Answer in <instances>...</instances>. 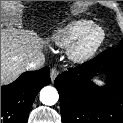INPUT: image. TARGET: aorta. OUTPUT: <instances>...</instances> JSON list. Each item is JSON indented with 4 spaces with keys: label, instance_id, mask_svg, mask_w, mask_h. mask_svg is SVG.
<instances>
[{
    "label": "aorta",
    "instance_id": "obj_1",
    "mask_svg": "<svg viewBox=\"0 0 123 123\" xmlns=\"http://www.w3.org/2000/svg\"><path fill=\"white\" fill-rule=\"evenodd\" d=\"M59 99V94L56 88L51 86H46L40 91V101L44 105H54Z\"/></svg>",
    "mask_w": 123,
    "mask_h": 123
}]
</instances>
